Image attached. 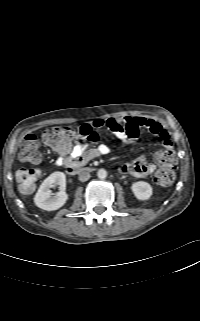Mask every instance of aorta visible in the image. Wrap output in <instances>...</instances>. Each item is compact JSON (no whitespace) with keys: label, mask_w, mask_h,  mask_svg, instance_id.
Here are the masks:
<instances>
[{"label":"aorta","mask_w":200,"mask_h":321,"mask_svg":"<svg viewBox=\"0 0 200 321\" xmlns=\"http://www.w3.org/2000/svg\"><path fill=\"white\" fill-rule=\"evenodd\" d=\"M97 176L100 179H105L107 177V171L105 169H99L97 172Z\"/></svg>","instance_id":"762f6f07"}]
</instances>
